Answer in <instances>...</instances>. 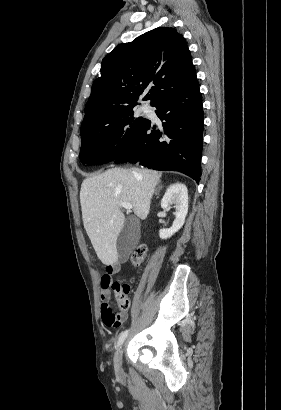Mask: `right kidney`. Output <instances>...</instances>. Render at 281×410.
<instances>
[{
    "label": "right kidney",
    "instance_id": "1",
    "mask_svg": "<svg viewBox=\"0 0 281 410\" xmlns=\"http://www.w3.org/2000/svg\"><path fill=\"white\" fill-rule=\"evenodd\" d=\"M171 205H174L175 220L172 227L169 229H161L159 236L161 239L170 238L175 234L184 224L186 215L188 213V190L182 183L172 184L164 194L161 200V207L168 209Z\"/></svg>",
    "mask_w": 281,
    "mask_h": 410
}]
</instances>
